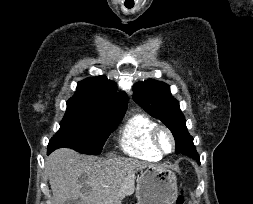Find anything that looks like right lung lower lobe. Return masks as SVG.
I'll list each match as a JSON object with an SVG mask.
<instances>
[{
	"mask_svg": "<svg viewBox=\"0 0 253 204\" xmlns=\"http://www.w3.org/2000/svg\"><path fill=\"white\" fill-rule=\"evenodd\" d=\"M50 152H52V151L48 150V153H50Z\"/></svg>",
	"mask_w": 253,
	"mask_h": 204,
	"instance_id": "98d812e1",
	"label": "right lung lower lobe"
}]
</instances>
